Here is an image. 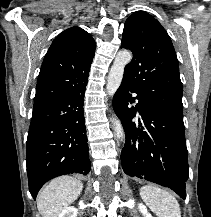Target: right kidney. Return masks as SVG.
Returning <instances> with one entry per match:
<instances>
[{
    "label": "right kidney",
    "instance_id": "ca27d5eb",
    "mask_svg": "<svg viewBox=\"0 0 211 217\" xmlns=\"http://www.w3.org/2000/svg\"><path fill=\"white\" fill-rule=\"evenodd\" d=\"M77 214L78 210L73 206H69L65 208L58 217H77Z\"/></svg>",
    "mask_w": 211,
    "mask_h": 217
}]
</instances>
